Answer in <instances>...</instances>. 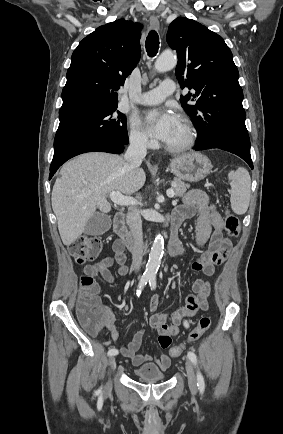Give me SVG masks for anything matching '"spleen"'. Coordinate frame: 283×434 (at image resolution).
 <instances>
[{"instance_id": "3e777b00", "label": "spleen", "mask_w": 283, "mask_h": 434, "mask_svg": "<svg viewBox=\"0 0 283 434\" xmlns=\"http://www.w3.org/2000/svg\"><path fill=\"white\" fill-rule=\"evenodd\" d=\"M228 178L231 185V208L238 215L244 214L250 202V175L246 169L238 168L236 171H230Z\"/></svg>"}]
</instances>
